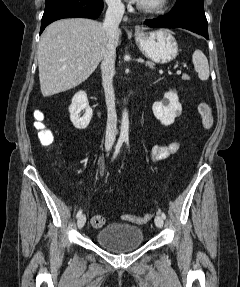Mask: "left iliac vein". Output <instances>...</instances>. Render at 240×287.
<instances>
[{
  "instance_id": "4c4485c4",
  "label": "left iliac vein",
  "mask_w": 240,
  "mask_h": 287,
  "mask_svg": "<svg viewBox=\"0 0 240 287\" xmlns=\"http://www.w3.org/2000/svg\"><path fill=\"white\" fill-rule=\"evenodd\" d=\"M155 224L158 228H162L163 227V224H164V220L163 218L160 216V215H157L155 217Z\"/></svg>"
}]
</instances>
